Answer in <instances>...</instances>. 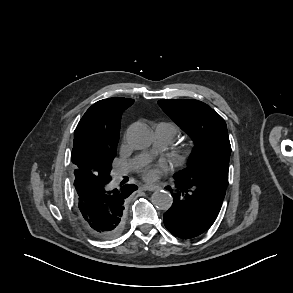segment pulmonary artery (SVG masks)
<instances>
[{"label": "pulmonary artery", "instance_id": "pulmonary-artery-1", "mask_svg": "<svg viewBox=\"0 0 293 293\" xmlns=\"http://www.w3.org/2000/svg\"><path fill=\"white\" fill-rule=\"evenodd\" d=\"M175 134L172 128L168 125L159 123L155 127V142L154 149H162L173 142ZM127 169L120 171L119 175H122Z\"/></svg>", "mask_w": 293, "mask_h": 293}]
</instances>
